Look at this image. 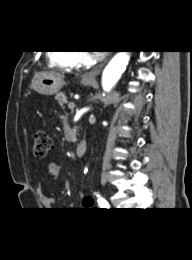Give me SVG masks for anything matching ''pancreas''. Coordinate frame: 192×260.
<instances>
[{"label": "pancreas", "instance_id": "pancreas-1", "mask_svg": "<svg viewBox=\"0 0 192 260\" xmlns=\"http://www.w3.org/2000/svg\"><path fill=\"white\" fill-rule=\"evenodd\" d=\"M55 99L58 101L60 105H64L67 102V98L64 93L60 92L55 96ZM76 139L75 135L72 137V141L74 142Z\"/></svg>", "mask_w": 192, "mask_h": 260}]
</instances>
